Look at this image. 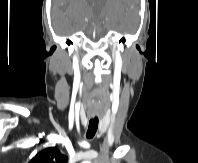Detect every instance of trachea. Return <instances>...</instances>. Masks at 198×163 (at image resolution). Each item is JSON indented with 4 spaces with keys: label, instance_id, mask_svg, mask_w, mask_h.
<instances>
[{
    "label": "trachea",
    "instance_id": "trachea-1",
    "mask_svg": "<svg viewBox=\"0 0 198 163\" xmlns=\"http://www.w3.org/2000/svg\"><path fill=\"white\" fill-rule=\"evenodd\" d=\"M97 128H98V118H93L90 120L89 122V126H88V130H87V133H86V137L88 139H91L94 137L96 131H97Z\"/></svg>",
    "mask_w": 198,
    "mask_h": 163
}]
</instances>
